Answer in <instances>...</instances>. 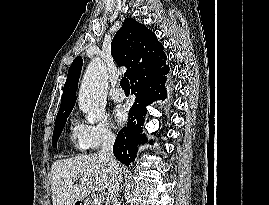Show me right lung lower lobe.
<instances>
[{"instance_id":"98d812e1","label":"right lung lower lobe","mask_w":269,"mask_h":205,"mask_svg":"<svg viewBox=\"0 0 269 205\" xmlns=\"http://www.w3.org/2000/svg\"><path fill=\"white\" fill-rule=\"evenodd\" d=\"M165 80H147L141 84L131 86L132 94H135V103L129 111V121L118 133L113 146L115 157L123 164L130 165L135 160L137 145L146 142L145 135H140L146 115V106L156 100H164L167 97Z\"/></svg>"}]
</instances>
